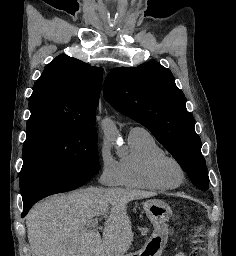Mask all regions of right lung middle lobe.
<instances>
[{
	"label": "right lung middle lobe",
	"instance_id": "obj_1",
	"mask_svg": "<svg viewBox=\"0 0 236 256\" xmlns=\"http://www.w3.org/2000/svg\"><path fill=\"white\" fill-rule=\"evenodd\" d=\"M95 125L37 121L27 123L20 190L59 178L98 174Z\"/></svg>",
	"mask_w": 236,
	"mask_h": 256
}]
</instances>
